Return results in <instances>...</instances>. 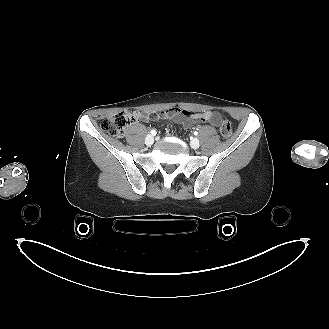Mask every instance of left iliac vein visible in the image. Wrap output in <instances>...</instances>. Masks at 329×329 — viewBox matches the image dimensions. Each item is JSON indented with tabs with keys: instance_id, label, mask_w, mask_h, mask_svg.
Segmentation results:
<instances>
[{
	"instance_id": "4c4485c4",
	"label": "left iliac vein",
	"mask_w": 329,
	"mask_h": 329,
	"mask_svg": "<svg viewBox=\"0 0 329 329\" xmlns=\"http://www.w3.org/2000/svg\"><path fill=\"white\" fill-rule=\"evenodd\" d=\"M190 146L193 148V149H198L199 146H200V142L197 138H193L191 141H190Z\"/></svg>"
}]
</instances>
